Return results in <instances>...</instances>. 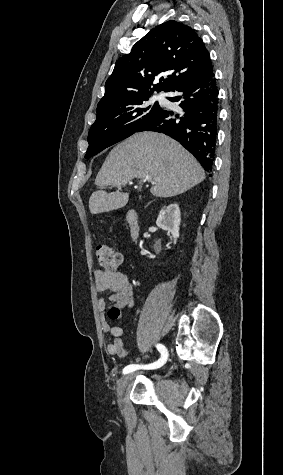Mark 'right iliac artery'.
<instances>
[{
  "mask_svg": "<svg viewBox=\"0 0 283 475\" xmlns=\"http://www.w3.org/2000/svg\"><path fill=\"white\" fill-rule=\"evenodd\" d=\"M156 347H157L158 351L161 353V358L158 361H156L154 363H151V364H148V365H135V364L128 365L123 369V374L133 372L137 369H144V370L145 369L146 370L156 369V368H159L162 365H164L167 361V358H168V351H167L166 347L162 344H157Z\"/></svg>",
  "mask_w": 283,
  "mask_h": 475,
  "instance_id": "right-iliac-artery-1",
  "label": "right iliac artery"
}]
</instances>
